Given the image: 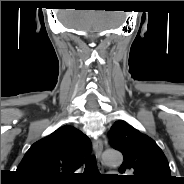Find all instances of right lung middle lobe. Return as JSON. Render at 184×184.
<instances>
[{
  "label": "right lung middle lobe",
  "mask_w": 184,
  "mask_h": 184,
  "mask_svg": "<svg viewBox=\"0 0 184 184\" xmlns=\"http://www.w3.org/2000/svg\"><path fill=\"white\" fill-rule=\"evenodd\" d=\"M32 183H35V184H46V183H42V182H32Z\"/></svg>",
  "instance_id": "right-lung-middle-lobe-1"
}]
</instances>
